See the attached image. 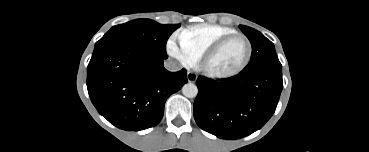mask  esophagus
<instances>
[{"mask_svg":"<svg viewBox=\"0 0 369 152\" xmlns=\"http://www.w3.org/2000/svg\"><path fill=\"white\" fill-rule=\"evenodd\" d=\"M187 79L189 82H195L197 79V75L193 72H187Z\"/></svg>","mask_w":369,"mask_h":152,"instance_id":"34e87169","label":"esophagus"}]
</instances>
